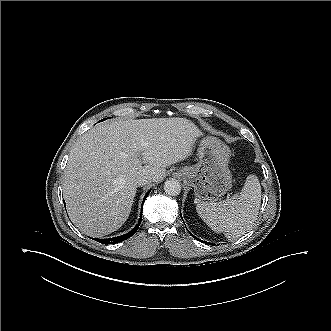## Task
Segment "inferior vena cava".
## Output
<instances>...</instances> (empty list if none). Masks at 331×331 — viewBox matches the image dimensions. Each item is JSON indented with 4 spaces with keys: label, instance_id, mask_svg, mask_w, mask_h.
<instances>
[{
    "label": "inferior vena cava",
    "instance_id": "1",
    "mask_svg": "<svg viewBox=\"0 0 331 331\" xmlns=\"http://www.w3.org/2000/svg\"><path fill=\"white\" fill-rule=\"evenodd\" d=\"M152 180H153V177L151 175H141V176L137 177L136 185L137 186H143V185H146L148 183H151Z\"/></svg>",
    "mask_w": 331,
    "mask_h": 331
}]
</instances>
